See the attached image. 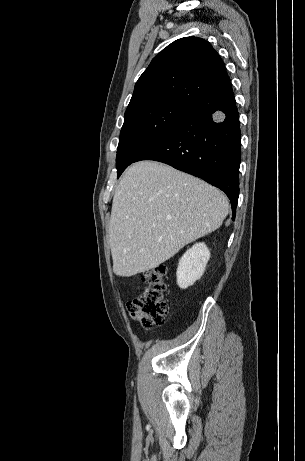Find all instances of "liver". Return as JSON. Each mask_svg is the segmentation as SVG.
<instances>
[{
  "label": "liver",
  "instance_id": "obj_1",
  "mask_svg": "<svg viewBox=\"0 0 305 461\" xmlns=\"http://www.w3.org/2000/svg\"><path fill=\"white\" fill-rule=\"evenodd\" d=\"M228 210L226 196L198 178L158 162L133 164L112 202L113 272L130 277L159 266L218 229Z\"/></svg>",
  "mask_w": 305,
  "mask_h": 461
}]
</instances>
